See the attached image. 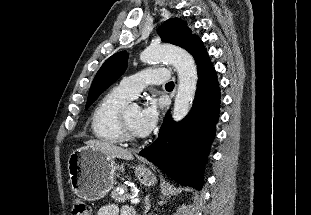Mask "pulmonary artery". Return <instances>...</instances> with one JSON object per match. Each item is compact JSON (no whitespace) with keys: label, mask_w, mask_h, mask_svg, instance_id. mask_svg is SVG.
<instances>
[{"label":"pulmonary artery","mask_w":311,"mask_h":215,"mask_svg":"<svg viewBox=\"0 0 311 215\" xmlns=\"http://www.w3.org/2000/svg\"><path fill=\"white\" fill-rule=\"evenodd\" d=\"M169 79V72L165 68H148L134 75L123 78L117 89L129 98H135L146 86L162 84Z\"/></svg>","instance_id":"1"}]
</instances>
